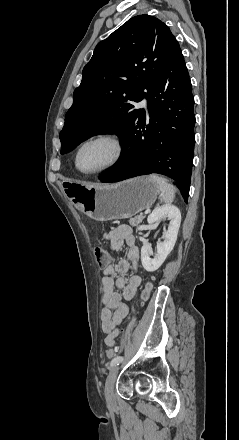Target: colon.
Here are the masks:
<instances>
[{"mask_svg":"<svg viewBox=\"0 0 239 440\" xmlns=\"http://www.w3.org/2000/svg\"><path fill=\"white\" fill-rule=\"evenodd\" d=\"M95 255L97 258V262L101 267H106L107 265H109V263L111 261V255L108 250H106L105 248H102V247H97L95 249ZM151 289H152L151 282H147L142 293H141V300L142 301H146L148 299L149 294L151 292ZM116 351H117V348H108L106 350V356L108 358H112L116 355Z\"/></svg>","mask_w":239,"mask_h":440,"instance_id":"1","label":"colon"}]
</instances>
